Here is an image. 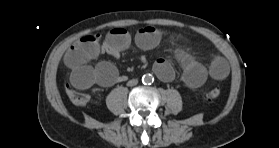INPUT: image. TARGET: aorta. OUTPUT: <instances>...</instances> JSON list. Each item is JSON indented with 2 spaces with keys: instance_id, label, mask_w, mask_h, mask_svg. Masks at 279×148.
Wrapping results in <instances>:
<instances>
[{
  "instance_id": "obj_1",
  "label": "aorta",
  "mask_w": 279,
  "mask_h": 148,
  "mask_svg": "<svg viewBox=\"0 0 279 148\" xmlns=\"http://www.w3.org/2000/svg\"><path fill=\"white\" fill-rule=\"evenodd\" d=\"M154 81V77L151 74H145L142 77V82L144 84H150Z\"/></svg>"
}]
</instances>
